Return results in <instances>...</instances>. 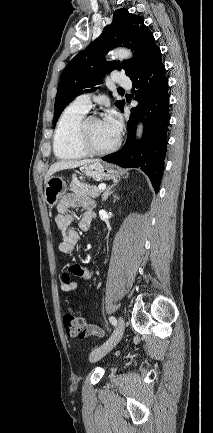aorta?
Returning a JSON list of instances; mask_svg holds the SVG:
<instances>
[{
  "label": "aorta",
  "instance_id": "762f6f07",
  "mask_svg": "<svg viewBox=\"0 0 213 433\" xmlns=\"http://www.w3.org/2000/svg\"><path fill=\"white\" fill-rule=\"evenodd\" d=\"M111 57L113 59H128L132 57V53L128 49L118 48L112 51ZM142 134H143V125L142 123H139L136 131L137 138H141Z\"/></svg>",
  "mask_w": 213,
  "mask_h": 433
}]
</instances>
